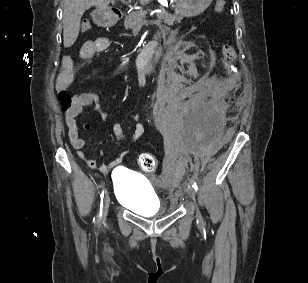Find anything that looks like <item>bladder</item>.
Instances as JSON below:
<instances>
[{
	"mask_svg": "<svg viewBox=\"0 0 308 283\" xmlns=\"http://www.w3.org/2000/svg\"><path fill=\"white\" fill-rule=\"evenodd\" d=\"M116 200L136 214L154 217L165 213L161 200L147 177L120 167L112 173Z\"/></svg>",
	"mask_w": 308,
	"mask_h": 283,
	"instance_id": "obj_1",
	"label": "bladder"
}]
</instances>
